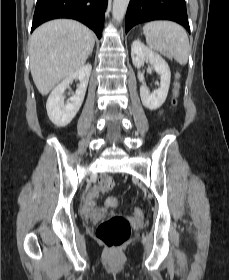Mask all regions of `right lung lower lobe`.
<instances>
[{"mask_svg":"<svg viewBox=\"0 0 229 280\" xmlns=\"http://www.w3.org/2000/svg\"><path fill=\"white\" fill-rule=\"evenodd\" d=\"M108 0H37L31 32L56 18L78 20L101 37Z\"/></svg>","mask_w":229,"mask_h":280,"instance_id":"98d812e1","label":"right lung lower lobe"}]
</instances>
